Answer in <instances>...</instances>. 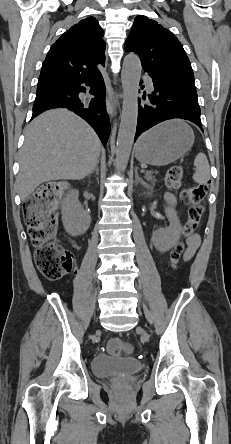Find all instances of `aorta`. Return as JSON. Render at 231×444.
I'll return each mask as SVG.
<instances>
[{"mask_svg": "<svg viewBox=\"0 0 231 444\" xmlns=\"http://www.w3.org/2000/svg\"><path fill=\"white\" fill-rule=\"evenodd\" d=\"M141 71L139 57L126 55L122 71L123 105L116 146L117 166L122 171L127 167L136 132Z\"/></svg>", "mask_w": 231, "mask_h": 444, "instance_id": "762f6f07", "label": "aorta"}]
</instances>
